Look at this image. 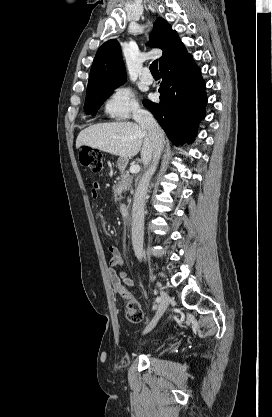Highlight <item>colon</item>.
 <instances>
[{"label":"colon","instance_id":"1","mask_svg":"<svg viewBox=\"0 0 272 417\" xmlns=\"http://www.w3.org/2000/svg\"><path fill=\"white\" fill-rule=\"evenodd\" d=\"M79 159L82 165L89 168L93 172H99L103 167L101 153L91 147H83L79 154ZM117 293L124 299H126L125 315L128 321L132 323H139L143 319V312L140 304L133 298L128 289L118 284L116 286Z\"/></svg>","mask_w":272,"mask_h":417}]
</instances>
